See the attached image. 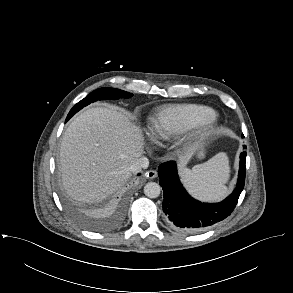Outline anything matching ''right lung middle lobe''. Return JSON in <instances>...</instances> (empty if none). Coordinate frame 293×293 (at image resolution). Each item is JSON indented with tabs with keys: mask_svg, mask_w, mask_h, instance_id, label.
Segmentation results:
<instances>
[{
	"mask_svg": "<svg viewBox=\"0 0 293 293\" xmlns=\"http://www.w3.org/2000/svg\"><path fill=\"white\" fill-rule=\"evenodd\" d=\"M132 94L128 93L123 90L115 89V88H109V87H103L99 88L93 92H91L89 95H87L84 99H82L80 102H78L69 112L66 121H68L76 112H78L83 107L89 105L92 102H95L97 100H105V99H119L121 97L123 98H129Z\"/></svg>",
	"mask_w": 293,
	"mask_h": 293,
	"instance_id": "1",
	"label": "right lung middle lobe"
}]
</instances>
